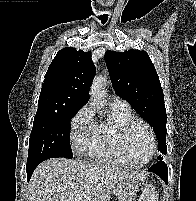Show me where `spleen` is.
<instances>
[{"label": "spleen", "mask_w": 196, "mask_h": 201, "mask_svg": "<svg viewBox=\"0 0 196 201\" xmlns=\"http://www.w3.org/2000/svg\"><path fill=\"white\" fill-rule=\"evenodd\" d=\"M141 201H158V193L151 184L147 185L140 197Z\"/></svg>", "instance_id": "3e777b00"}]
</instances>
